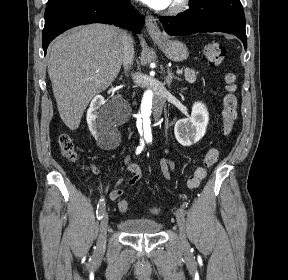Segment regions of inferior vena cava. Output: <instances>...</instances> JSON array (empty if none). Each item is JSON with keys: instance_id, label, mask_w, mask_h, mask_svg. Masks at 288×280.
<instances>
[{"instance_id": "inferior-vena-cava-1", "label": "inferior vena cava", "mask_w": 288, "mask_h": 280, "mask_svg": "<svg viewBox=\"0 0 288 280\" xmlns=\"http://www.w3.org/2000/svg\"><path fill=\"white\" fill-rule=\"evenodd\" d=\"M123 41V65L125 69H128L132 65L134 59L133 39L130 34L124 32ZM133 79L137 85L152 86L153 92L151 93V96L154 97L152 103L153 124L154 126H160L163 117L162 104L166 101V97H169V89H163V86L160 85V81H158L157 78H144L141 73L133 74Z\"/></svg>"}]
</instances>
